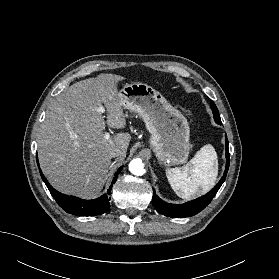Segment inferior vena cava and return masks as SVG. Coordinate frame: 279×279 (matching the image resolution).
I'll return each mask as SVG.
<instances>
[{"mask_svg": "<svg viewBox=\"0 0 279 279\" xmlns=\"http://www.w3.org/2000/svg\"><path fill=\"white\" fill-rule=\"evenodd\" d=\"M120 154H121V151L119 149H114V150L110 151L109 157L110 158L119 157Z\"/></svg>", "mask_w": 279, "mask_h": 279, "instance_id": "1", "label": "inferior vena cava"}]
</instances>
